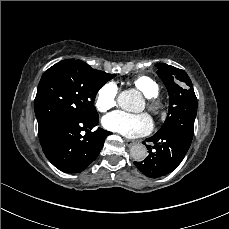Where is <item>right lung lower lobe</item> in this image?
Listing matches in <instances>:
<instances>
[{
	"label": "right lung lower lobe",
	"instance_id": "right-lung-lower-lobe-1",
	"mask_svg": "<svg viewBox=\"0 0 229 229\" xmlns=\"http://www.w3.org/2000/svg\"><path fill=\"white\" fill-rule=\"evenodd\" d=\"M98 120L63 118L39 136L47 159L66 173L81 172L99 155L105 138L111 132L98 128ZM86 134L83 136L84 132Z\"/></svg>",
	"mask_w": 229,
	"mask_h": 229
}]
</instances>
